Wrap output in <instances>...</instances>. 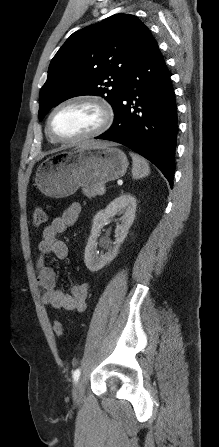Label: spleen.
Segmentation results:
<instances>
[{
	"label": "spleen",
	"mask_w": 219,
	"mask_h": 447,
	"mask_svg": "<svg viewBox=\"0 0 219 447\" xmlns=\"http://www.w3.org/2000/svg\"><path fill=\"white\" fill-rule=\"evenodd\" d=\"M132 157V176L134 179H140L142 177L147 176L150 173L149 164L147 161L141 156L130 153Z\"/></svg>",
	"instance_id": "obj_1"
}]
</instances>
